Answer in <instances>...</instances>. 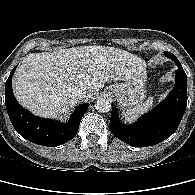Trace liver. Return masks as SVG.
I'll return each instance as SVG.
<instances>
[{
	"instance_id": "1",
	"label": "liver",
	"mask_w": 195,
	"mask_h": 195,
	"mask_svg": "<svg viewBox=\"0 0 195 195\" xmlns=\"http://www.w3.org/2000/svg\"><path fill=\"white\" fill-rule=\"evenodd\" d=\"M146 69L143 59L119 48L81 46L24 57L13 77L18 102L33 114L55 118L77 103L81 86L96 95L105 82L128 81Z\"/></svg>"
}]
</instances>
